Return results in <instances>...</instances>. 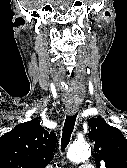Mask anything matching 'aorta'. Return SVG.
<instances>
[{"instance_id": "762f6f07", "label": "aorta", "mask_w": 127, "mask_h": 168, "mask_svg": "<svg viewBox=\"0 0 127 168\" xmlns=\"http://www.w3.org/2000/svg\"><path fill=\"white\" fill-rule=\"evenodd\" d=\"M67 156L72 162H81L91 156V148L87 143H74L70 146Z\"/></svg>"}]
</instances>
